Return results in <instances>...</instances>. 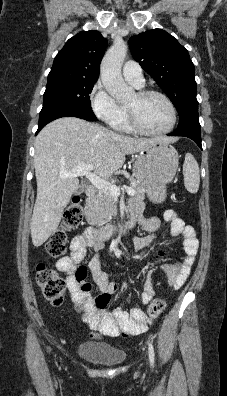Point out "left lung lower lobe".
Listing matches in <instances>:
<instances>
[{
    "label": "left lung lower lobe",
    "instance_id": "obj_1",
    "mask_svg": "<svg viewBox=\"0 0 227 396\" xmlns=\"http://www.w3.org/2000/svg\"><path fill=\"white\" fill-rule=\"evenodd\" d=\"M169 136H184L192 139L202 149L198 107L186 110L180 116L177 129Z\"/></svg>",
    "mask_w": 227,
    "mask_h": 396
}]
</instances>
